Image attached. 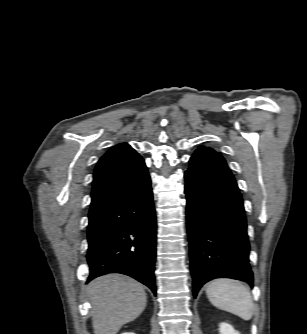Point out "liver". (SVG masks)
I'll list each match as a JSON object with an SVG mask.
<instances>
[{"mask_svg":"<svg viewBox=\"0 0 307 334\" xmlns=\"http://www.w3.org/2000/svg\"><path fill=\"white\" fill-rule=\"evenodd\" d=\"M94 334H116L135 320L147 303L143 286L130 277L109 274L87 286Z\"/></svg>","mask_w":307,"mask_h":334,"instance_id":"1","label":"liver"}]
</instances>
